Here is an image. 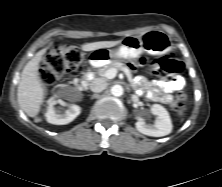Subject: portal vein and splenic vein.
Segmentation results:
<instances>
[{
  "instance_id": "1",
  "label": "portal vein and splenic vein",
  "mask_w": 222,
  "mask_h": 187,
  "mask_svg": "<svg viewBox=\"0 0 222 187\" xmlns=\"http://www.w3.org/2000/svg\"><path fill=\"white\" fill-rule=\"evenodd\" d=\"M116 74H117V69L111 68V69L107 70V72H106V78H108V79H113V78L116 77Z\"/></svg>"
}]
</instances>
